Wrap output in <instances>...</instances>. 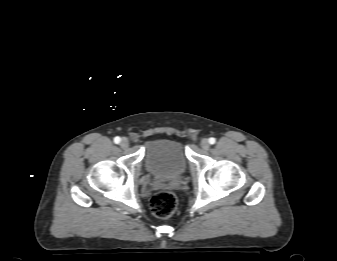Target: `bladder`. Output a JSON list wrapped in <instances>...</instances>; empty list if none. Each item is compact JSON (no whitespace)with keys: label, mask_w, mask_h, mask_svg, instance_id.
<instances>
[{"label":"bladder","mask_w":337,"mask_h":261,"mask_svg":"<svg viewBox=\"0 0 337 261\" xmlns=\"http://www.w3.org/2000/svg\"><path fill=\"white\" fill-rule=\"evenodd\" d=\"M144 162L146 169L158 178H177L188 167L183 144L170 138L149 140L145 145Z\"/></svg>","instance_id":"1"}]
</instances>
